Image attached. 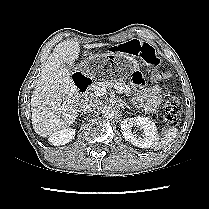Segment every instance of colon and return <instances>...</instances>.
<instances>
[{
	"instance_id": "5ec220e1",
	"label": "colon",
	"mask_w": 209,
	"mask_h": 209,
	"mask_svg": "<svg viewBox=\"0 0 209 209\" xmlns=\"http://www.w3.org/2000/svg\"><path fill=\"white\" fill-rule=\"evenodd\" d=\"M117 51L127 55L139 56L146 64L150 66H158L160 60L156 49L148 42L140 40H131L117 48ZM160 76H165L160 74ZM181 114V103L179 99L173 95H169L163 106L164 121L169 124H175Z\"/></svg>"
}]
</instances>
